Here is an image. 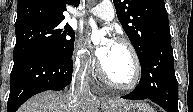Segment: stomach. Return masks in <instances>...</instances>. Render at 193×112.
I'll list each match as a JSON object with an SVG mask.
<instances>
[{
  "mask_svg": "<svg viewBox=\"0 0 193 112\" xmlns=\"http://www.w3.org/2000/svg\"><path fill=\"white\" fill-rule=\"evenodd\" d=\"M106 112H154L146 103L128 101L123 104H115L107 101L105 103Z\"/></svg>",
  "mask_w": 193,
  "mask_h": 112,
  "instance_id": "stomach-1",
  "label": "stomach"
}]
</instances>
